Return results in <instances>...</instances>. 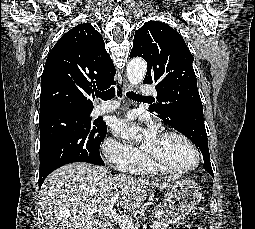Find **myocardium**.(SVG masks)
Segmentation results:
<instances>
[{"label": "myocardium", "instance_id": "1", "mask_svg": "<svg viewBox=\"0 0 255 229\" xmlns=\"http://www.w3.org/2000/svg\"><path fill=\"white\" fill-rule=\"evenodd\" d=\"M161 136H175L180 138L181 140H183L193 151L195 159L194 162L187 166V167H168L165 166L163 164H161L158 161L153 160L151 157H149L145 151L142 149L141 150V155L143 157V159L153 168L160 170L166 174H175V175H181V174H185L187 172H190L192 170H194L195 168L198 167V165L200 164L201 161V154L199 149L197 148V146L195 145V143L184 133L177 131V130H166L161 132L160 134ZM164 175V174H163Z\"/></svg>", "mask_w": 255, "mask_h": 229}]
</instances>
